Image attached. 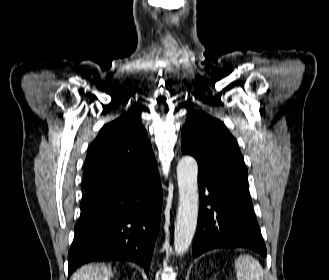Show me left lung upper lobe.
I'll return each mask as SVG.
<instances>
[{"label":"left lung upper lobe","mask_w":329,"mask_h":280,"mask_svg":"<svg viewBox=\"0 0 329 280\" xmlns=\"http://www.w3.org/2000/svg\"><path fill=\"white\" fill-rule=\"evenodd\" d=\"M181 149L198 162V185L212 193L247 185L248 172L237 141L220 120L202 111L189 114Z\"/></svg>","instance_id":"left-lung-upper-lobe-1"}]
</instances>
